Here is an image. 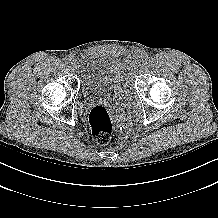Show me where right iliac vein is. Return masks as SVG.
I'll list each match as a JSON object with an SVG mask.
<instances>
[{"instance_id": "right-iliac-vein-1", "label": "right iliac vein", "mask_w": 218, "mask_h": 218, "mask_svg": "<svg viewBox=\"0 0 218 218\" xmlns=\"http://www.w3.org/2000/svg\"><path fill=\"white\" fill-rule=\"evenodd\" d=\"M70 67H71V69H72L73 71H77L78 68H79V63H78V61L73 58V59L71 60Z\"/></svg>"}]
</instances>
